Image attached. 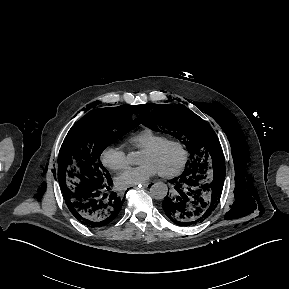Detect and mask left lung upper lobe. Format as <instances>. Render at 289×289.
Segmentation results:
<instances>
[{"instance_id": "obj_1", "label": "left lung upper lobe", "mask_w": 289, "mask_h": 289, "mask_svg": "<svg viewBox=\"0 0 289 289\" xmlns=\"http://www.w3.org/2000/svg\"><path fill=\"white\" fill-rule=\"evenodd\" d=\"M137 119L154 131L165 132L183 140L191 154L184 172L197 168L211 171L224 164L221 145L214 130L184 105H140Z\"/></svg>"}]
</instances>
